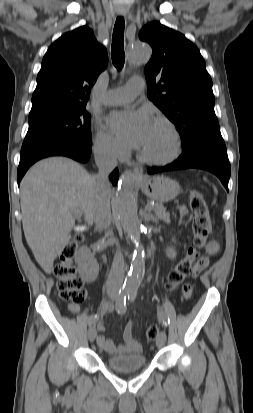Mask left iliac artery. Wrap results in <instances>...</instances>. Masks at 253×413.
<instances>
[{"label":"left iliac artery","mask_w":253,"mask_h":413,"mask_svg":"<svg viewBox=\"0 0 253 413\" xmlns=\"http://www.w3.org/2000/svg\"><path fill=\"white\" fill-rule=\"evenodd\" d=\"M137 295V289H131L128 291V300L134 301ZM161 319L163 320V323L165 326L169 324L170 320L167 316L165 315H160Z\"/></svg>","instance_id":"left-iliac-artery-1"}]
</instances>
